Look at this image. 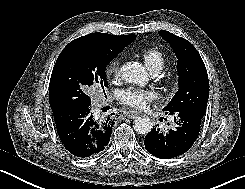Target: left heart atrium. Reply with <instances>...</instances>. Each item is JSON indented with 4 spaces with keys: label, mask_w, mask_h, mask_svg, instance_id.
Listing matches in <instances>:
<instances>
[{
    "label": "left heart atrium",
    "mask_w": 245,
    "mask_h": 189,
    "mask_svg": "<svg viewBox=\"0 0 245 189\" xmlns=\"http://www.w3.org/2000/svg\"><path fill=\"white\" fill-rule=\"evenodd\" d=\"M155 93L138 87H128L119 91L118 97L122 104L131 108H142L153 99Z\"/></svg>",
    "instance_id": "1"
}]
</instances>
